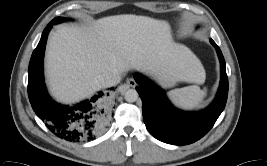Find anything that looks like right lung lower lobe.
I'll list each match as a JSON object with an SVG mask.
<instances>
[{
    "instance_id": "right-lung-lower-lobe-1",
    "label": "right lung lower lobe",
    "mask_w": 267,
    "mask_h": 166,
    "mask_svg": "<svg viewBox=\"0 0 267 166\" xmlns=\"http://www.w3.org/2000/svg\"><path fill=\"white\" fill-rule=\"evenodd\" d=\"M53 20L44 29L29 63L28 95L36 115L57 137L69 142H86L102 133L111 119L109 93L99 91L74 105L54 102L47 93L43 76V57ZM114 88H111V90Z\"/></svg>"
}]
</instances>
